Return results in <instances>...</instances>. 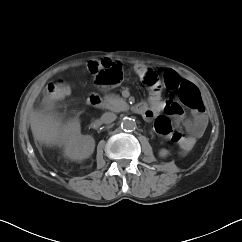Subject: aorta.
Instances as JSON below:
<instances>
[{"mask_svg": "<svg viewBox=\"0 0 242 242\" xmlns=\"http://www.w3.org/2000/svg\"><path fill=\"white\" fill-rule=\"evenodd\" d=\"M137 127L136 122L134 119L130 117H124L122 122H121V128L124 131H133Z\"/></svg>", "mask_w": 242, "mask_h": 242, "instance_id": "aorta-1", "label": "aorta"}]
</instances>
